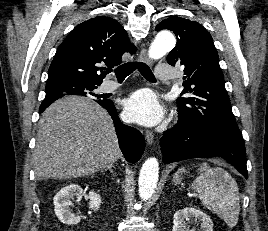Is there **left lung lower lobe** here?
<instances>
[{
  "label": "left lung lower lobe",
  "mask_w": 268,
  "mask_h": 231,
  "mask_svg": "<svg viewBox=\"0 0 268 231\" xmlns=\"http://www.w3.org/2000/svg\"><path fill=\"white\" fill-rule=\"evenodd\" d=\"M164 163L220 156L247 178L244 141L216 129L192 127L180 121L160 139Z\"/></svg>",
  "instance_id": "1"
}]
</instances>
